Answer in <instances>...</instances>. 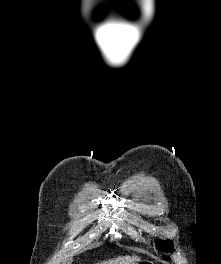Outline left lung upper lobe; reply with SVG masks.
I'll use <instances>...</instances> for the list:
<instances>
[{"mask_svg": "<svg viewBox=\"0 0 221 264\" xmlns=\"http://www.w3.org/2000/svg\"><path fill=\"white\" fill-rule=\"evenodd\" d=\"M172 248H173V245L169 240L158 242V249L159 250L162 249V250L169 252L172 250Z\"/></svg>", "mask_w": 221, "mask_h": 264, "instance_id": "left-lung-upper-lobe-1", "label": "left lung upper lobe"}]
</instances>
